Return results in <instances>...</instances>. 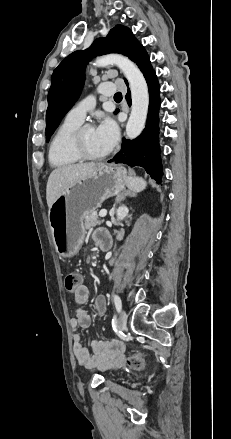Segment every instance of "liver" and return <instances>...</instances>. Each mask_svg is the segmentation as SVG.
I'll return each instance as SVG.
<instances>
[{
	"instance_id": "liver-1",
	"label": "liver",
	"mask_w": 231,
	"mask_h": 439,
	"mask_svg": "<svg viewBox=\"0 0 231 439\" xmlns=\"http://www.w3.org/2000/svg\"><path fill=\"white\" fill-rule=\"evenodd\" d=\"M103 163H79L54 169L49 175L46 200L50 208L56 199L78 180L94 174Z\"/></svg>"
}]
</instances>
